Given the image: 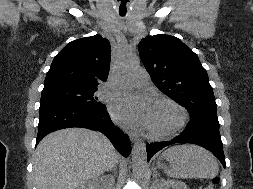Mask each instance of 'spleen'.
I'll return each mask as SVG.
<instances>
[{"label": "spleen", "instance_id": "obj_1", "mask_svg": "<svg viewBox=\"0 0 253 189\" xmlns=\"http://www.w3.org/2000/svg\"><path fill=\"white\" fill-rule=\"evenodd\" d=\"M171 168L165 169L173 178H215L219 166L214 155L208 150L191 144L175 145L162 153Z\"/></svg>", "mask_w": 253, "mask_h": 189}]
</instances>
